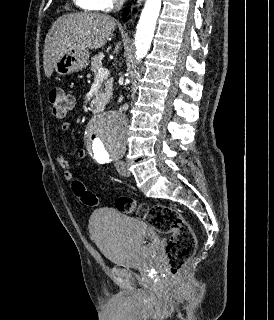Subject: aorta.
Listing matches in <instances>:
<instances>
[{
	"label": "aorta",
	"instance_id": "762f6f07",
	"mask_svg": "<svg viewBox=\"0 0 274 320\" xmlns=\"http://www.w3.org/2000/svg\"><path fill=\"white\" fill-rule=\"evenodd\" d=\"M161 8V0H146L136 27L135 46L138 60L147 54ZM127 121L117 111L93 120L87 131V141L96 159L121 156L126 149ZM94 135V139L92 136Z\"/></svg>",
	"mask_w": 274,
	"mask_h": 320
}]
</instances>
